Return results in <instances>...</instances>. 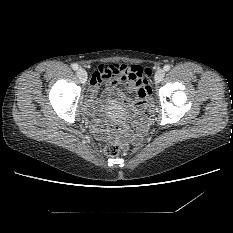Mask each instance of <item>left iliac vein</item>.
<instances>
[{"mask_svg":"<svg viewBox=\"0 0 233 233\" xmlns=\"http://www.w3.org/2000/svg\"><path fill=\"white\" fill-rule=\"evenodd\" d=\"M165 71L163 69H158L155 73V81L159 83L164 78Z\"/></svg>","mask_w":233,"mask_h":233,"instance_id":"1","label":"left iliac vein"}]
</instances>
